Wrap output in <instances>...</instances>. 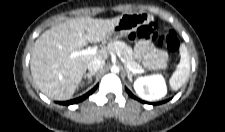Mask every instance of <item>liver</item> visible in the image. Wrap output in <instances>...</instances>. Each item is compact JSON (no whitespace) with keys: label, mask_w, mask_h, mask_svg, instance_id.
I'll list each match as a JSON object with an SVG mask.
<instances>
[{"label":"liver","mask_w":225,"mask_h":132,"mask_svg":"<svg viewBox=\"0 0 225 132\" xmlns=\"http://www.w3.org/2000/svg\"><path fill=\"white\" fill-rule=\"evenodd\" d=\"M120 19L121 16L112 19L79 17L45 31L34 43L30 60V70L37 88L50 99H71L88 63L108 57L106 49L94 55L76 57H72V52L80 51L88 43L105 40Z\"/></svg>","instance_id":"obj_1"}]
</instances>
